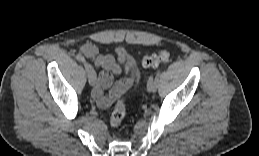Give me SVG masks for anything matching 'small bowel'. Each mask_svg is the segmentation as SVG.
I'll list each match as a JSON object with an SVG mask.
<instances>
[{"mask_svg":"<svg viewBox=\"0 0 259 156\" xmlns=\"http://www.w3.org/2000/svg\"><path fill=\"white\" fill-rule=\"evenodd\" d=\"M79 51L90 59L95 66L103 69L98 77V81L92 95L99 107H109L117 97L130 87L134 80V73L132 72L128 78L116 83L109 95H104V90L112 84L113 76L122 72V66L126 59L125 50L123 48H118L116 50L118 56L117 60L112 55L100 53L97 46L90 42L81 44Z\"/></svg>","mask_w":259,"mask_h":156,"instance_id":"c3829d8e","label":"small bowel"}]
</instances>
